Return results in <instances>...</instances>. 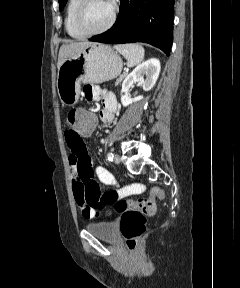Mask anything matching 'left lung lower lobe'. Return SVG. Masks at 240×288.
Returning <instances> with one entry per match:
<instances>
[{
    "mask_svg": "<svg viewBox=\"0 0 240 288\" xmlns=\"http://www.w3.org/2000/svg\"><path fill=\"white\" fill-rule=\"evenodd\" d=\"M175 0H120L114 25L90 41L119 44L144 42L170 54Z\"/></svg>",
    "mask_w": 240,
    "mask_h": 288,
    "instance_id": "0a47b994",
    "label": "left lung lower lobe"
}]
</instances>
